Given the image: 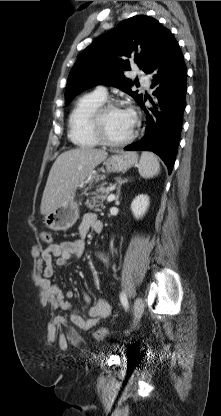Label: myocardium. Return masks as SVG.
Wrapping results in <instances>:
<instances>
[{
	"label": "myocardium",
	"mask_w": 221,
	"mask_h": 416,
	"mask_svg": "<svg viewBox=\"0 0 221 416\" xmlns=\"http://www.w3.org/2000/svg\"><path fill=\"white\" fill-rule=\"evenodd\" d=\"M121 108L124 109L123 105L119 101L107 100L100 104L93 112L90 128L93 135L99 141L100 144H103L108 147H122L129 144L136 136L137 129L139 126V119L134 112H131L133 116V127L128 137L120 141H113L109 139L104 130V115L110 109Z\"/></svg>",
	"instance_id": "obj_1"
}]
</instances>
